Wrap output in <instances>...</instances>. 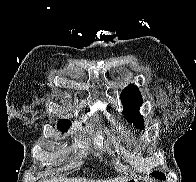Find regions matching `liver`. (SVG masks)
<instances>
[{"label":"liver","mask_w":196,"mask_h":182,"mask_svg":"<svg viewBox=\"0 0 196 182\" xmlns=\"http://www.w3.org/2000/svg\"><path fill=\"white\" fill-rule=\"evenodd\" d=\"M126 177H118L110 180H87L85 178H56L53 177L49 180H43L42 182H126Z\"/></svg>","instance_id":"1"}]
</instances>
